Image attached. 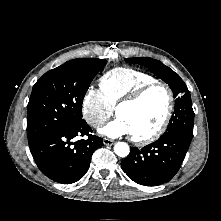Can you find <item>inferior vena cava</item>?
I'll list each match as a JSON object with an SVG mask.
<instances>
[{
    "instance_id": "obj_1",
    "label": "inferior vena cava",
    "mask_w": 221,
    "mask_h": 221,
    "mask_svg": "<svg viewBox=\"0 0 221 221\" xmlns=\"http://www.w3.org/2000/svg\"><path fill=\"white\" fill-rule=\"evenodd\" d=\"M94 125L95 126H100V125H102V121H98V120L94 121Z\"/></svg>"
}]
</instances>
